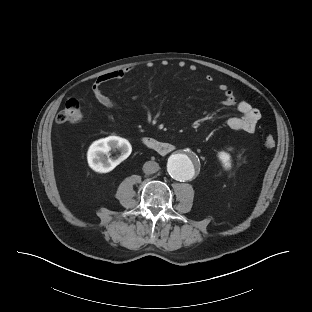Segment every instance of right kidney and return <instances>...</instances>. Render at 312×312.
I'll return each instance as SVG.
<instances>
[{"instance_id": "obj_1", "label": "right kidney", "mask_w": 312, "mask_h": 312, "mask_svg": "<svg viewBox=\"0 0 312 312\" xmlns=\"http://www.w3.org/2000/svg\"><path fill=\"white\" fill-rule=\"evenodd\" d=\"M118 149L121 152L120 158L126 159L132 152L131 144L128 140L118 137L109 136L94 141L87 152V160L90 168L98 173H107L112 168V161L106 160L104 155L109 151Z\"/></svg>"}]
</instances>
